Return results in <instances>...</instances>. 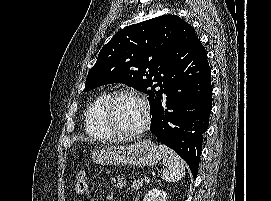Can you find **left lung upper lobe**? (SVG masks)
<instances>
[{
    "label": "left lung upper lobe",
    "mask_w": 271,
    "mask_h": 201,
    "mask_svg": "<svg viewBox=\"0 0 271 201\" xmlns=\"http://www.w3.org/2000/svg\"><path fill=\"white\" fill-rule=\"evenodd\" d=\"M182 29L194 31L179 16L168 14L119 31L102 47L83 91L112 83L126 84L149 95L153 121L172 66L173 47Z\"/></svg>",
    "instance_id": "1"
}]
</instances>
